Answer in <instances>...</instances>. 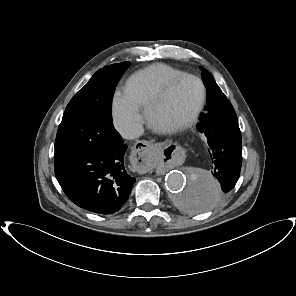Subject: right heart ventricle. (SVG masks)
<instances>
[{
    "instance_id": "e07e8e85",
    "label": "right heart ventricle",
    "mask_w": 296,
    "mask_h": 296,
    "mask_svg": "<svg viewBox=\"0 0 296 296\" xmlns=\"http://www.w3.org/2000/svg\"><path fill=\"white\" fill-rule=\"evenodd\" d=\"M183 71L166 64H153L135 75L127 84L126 92L140 107L147 109L166 84Z\"/></svg>"
}]
</instances>
